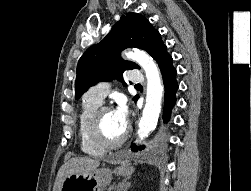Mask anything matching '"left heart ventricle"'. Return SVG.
Wrapping results in <instances>:
<instances>
[{
    "label": "left heart ventricle",
    "instance_id": "b2bd125f",
    "mask_svg": "<svg viewBox=\"0 0 251 191\" xmlns=\"http://www.w3.org/2000/svg\"><path fill=\"white\" fill-rule=\"evenodd\" d=\"M102 131L105 138L113 141L123 134L124 129L117 124L112 112L106 111L102 116Z\"/></svg>",
    "mask_w": 251,
    "mask_h": 191
}]
</instances>
